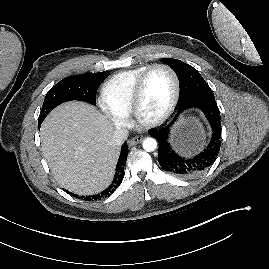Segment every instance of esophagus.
Masks as SVG:
<instances>
[{
  "label": "esophagus",
  "instance_id": "1",
  "mask_svg": "<svg viewBox=\"0 0 269 269\" xmlns=\"http://www.w3.org/2000/svg\"><path fill=\"white\" fill-rule=\"evenodd\" d=\"M143 139H144V138H143L142 136H137V137H134V138L130 139V140L128 141V144H129V146H134V145H136L137 143L142 142Z\"/></svg>",
  "mask_w": 269,
  "mask_h": 269
}]
</instances>
